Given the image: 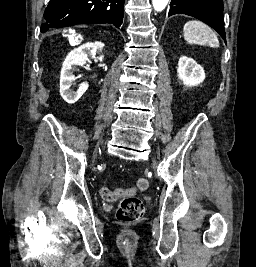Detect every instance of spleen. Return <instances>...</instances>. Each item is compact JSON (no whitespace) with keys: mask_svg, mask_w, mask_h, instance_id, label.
<instances>
[{"mask_svg":"<svg viewBox=\"0 0 256 267\" xmlns=\"http://www.w3.org/2000/svg\"><path fill=\"white\" fill-rule=\"evenodd\" d=\"M183 36L187 44H197V46H210V48H219L218 38L206 24L191 20L186 22L183 28Z\"/></svg>","mask_w":256,"mask_h":267,"instance_id":"obj_1","label":"spleen"}]
</instances>
